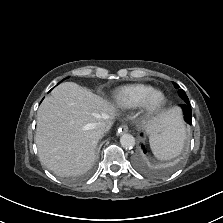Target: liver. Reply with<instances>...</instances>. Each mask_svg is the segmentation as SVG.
Here are the masks:
<instances>
[{"label": "liver", "mask_w": 223, "mask_h": 223, "mask_svg": "<svg viewBox=\"0 0 223 223\" xmlns=\"http://www.w3.org/2000/svg\"><path fill=\"white\" fill-rule=\"evenodd\" d=\"M175 109L163 111L143 122L150 134L163 132L178 115ZM116 108L102 97L73 82L53 89L37 111L35 141L40 161L56 175L74 176L89 170L102 135L98 122L113 124Z\"/></svg>", "instance_id": "obj_1"}]
</instances>
